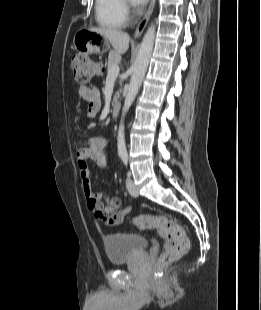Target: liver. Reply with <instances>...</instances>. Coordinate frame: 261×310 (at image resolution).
<instances>
[{"label":"liver","instance_id":"1","mask_svg":"<svg viewBox=\"0 0 261 310\" xmlns=\"http://www.w3.org/2000/svg\"><path fill=\"white\" fill-rule=\"evenodd\" d=\"M89 31L103 35L119 54L125 53L129 48L130 37L127 33L112 28H90Z\"/></svg>","mask_w":261,"mask_h":310}]
</instances>
